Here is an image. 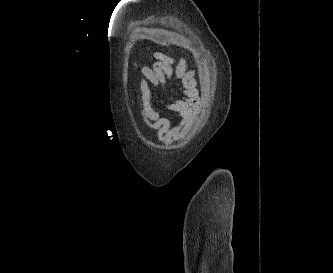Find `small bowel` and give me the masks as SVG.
Segmentation results:
<instances>
[{"label": "small bowel", "instance_id": "obj_1", "mask_svg": "<svg viewBox=\"0 0 333 273\" xmlns=\"http://www.w3.org/2000/svg\"><path fill=\"white\" fill-rule=\"evenodd\" d=\"M157 60L152 67L141 66L138 107L144 124L157 131L156 139L168 143L177 131H182L191 118L192 110L199 102L194 72L187 69L185 61L180 60L174 67L175 59L161 52L153 53ZM172 78L179 80L183 87L184 99L170 106L182 119L181 126L173 129L169 120L154 107L153 90H162ZM152 86V88L150 87Z\"/></svg>", "mask_w": 333, "mask_h": 273}]
</instances>
